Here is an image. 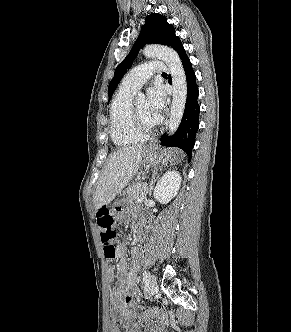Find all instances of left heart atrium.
Instances as JSON below:
<instances>
[{
  "label": "left heart atrium",
  "mask_w": 291,
  "mask_h": 332,
  "mask_svg": "<svg viewBox=\"0 0 291 332\" xmlns=\"http://www.w3.org/2000/svg\"><path fill=\"white\" fill-rule=\"evenodd\" d=\"M147 104L155 123H160L162 121V111L166 104V96L163 90L159 87L149 89Z\"/></svg>",
  "instance_id": "1"
}]
</instances>
